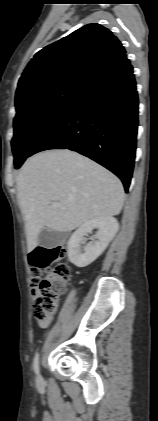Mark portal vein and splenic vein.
Returning <instances> with one entry per match:
<instances>
[{
  "label": "portal vein and splenic vein",
  "mask_w": 158,
  "mask_h": 421,
  "mask_svg": "<svg viewBox=\"0 0 158 421\" xmlns=\"http://www.w3.org/2000/svg\"><path fill=\"white\" fill-rule=\"evenodd\" d=\"M51 206L54 208H58V207H61V204L58 202H55V203H52Z\"/></svg>",
  "instance_id": "obj_1"
}]
</instances>
